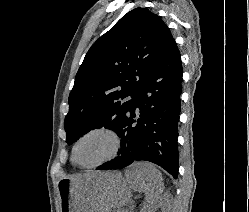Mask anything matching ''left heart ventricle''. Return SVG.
<instances>
[{
    "mask_svg": "<svg viewBox=\"0 0 249 212\" xmlns=\"http://www.w3.org/2000/svg\"><path fill=\"white\" fill-rule=\"evenodd\" d=\"M114 148L113 139L107 134H95L84 139L77 150L80 164H95L106 158Z\"/></svg>",
    "mask_w": 249,
    "mask_h": 212,
    "instance_id": "1",
    "label": "left heart ventricle"
}]
</instances>
